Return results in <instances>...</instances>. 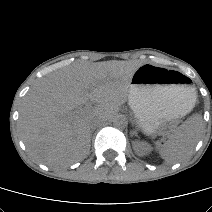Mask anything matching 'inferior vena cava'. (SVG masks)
<instances>
[{
  "mask_svg": "<svg viewBox=\"0 0 212 212\" xmlns=\"http://www.w3.org/2000/svg\"><path fill=\"white\" fill-rule=\"evenodd\" d=\"M102 122V119L98 118V117H92L90 119V127H96L97 125H99Z\"/></svg>",
  "mask_w": 212,
  "mask_h": 212,
  "instance_id": "inferior-vena-cava-1",
  "label": "inferior vena cava"
}]
</instances>
